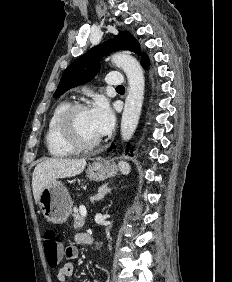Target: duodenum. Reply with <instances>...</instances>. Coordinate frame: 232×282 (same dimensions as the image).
Instances as JSON below:
<instances>
[{
  "instance_id": "1",
  "label": "duodenum",
  "mask_w": 232,
  "mask_h": 282,
  "mask_svg": "<svg viewBox=\"0 0 232 282\" xmlns=\"http://www.w3.org/2000/svg\"><path fill=\"white\" fill-rule=\"evenodd\" d=\"M92 242H93V240L91 238H89L88 243H92Z\"/></svg>"
}]
</instances>
